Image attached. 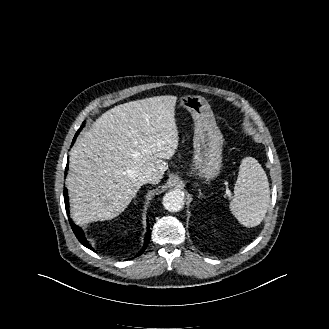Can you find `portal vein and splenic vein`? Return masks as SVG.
<instances>
[{
	"mask_svg": "<svg viewBox=\"0 0 329 329\" xmlns=\"http://www.w3.org/2000/svg\"><path fill=\"white\" fill-rule=\"evenodd\" d=\"M226 193H227L228 195H230V191H227Z\"/></svg>",
	"mask_w": 329,
	"mask_h": 329,
	"instance_id": "1",
	"label": "portal vein and splenic vein"
}]
</instances>
